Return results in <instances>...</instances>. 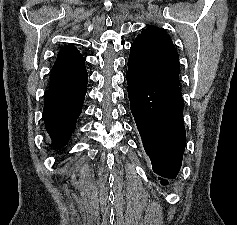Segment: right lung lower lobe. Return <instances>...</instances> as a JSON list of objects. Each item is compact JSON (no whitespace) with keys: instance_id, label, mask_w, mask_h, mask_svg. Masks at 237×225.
I'll use <instances>...</instances> for the list:
<instances>
[{"instance_id":"98d812e1","label":"right lung lower lobe","mask_w":237,"mask_h":225,"mask_svg":"<svg viewBox=\"0 0 237 225\" xmlns=\"http://www.w3.org/2000/svg\"><path fill=\"white\" fill-rule=\"evenodd\" d=\"M87 81L75 87H49L45 92L43 118L54 148L70 139L81 114Z\"/></svg>"}]
</instances>
